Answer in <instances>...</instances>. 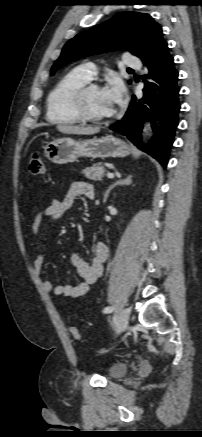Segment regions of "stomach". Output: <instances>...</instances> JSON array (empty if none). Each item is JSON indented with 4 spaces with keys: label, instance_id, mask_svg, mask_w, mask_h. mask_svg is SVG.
Instances as JSON below:
<instances>
[{
    "label": "stomach",
    "instance_id": "stomach-1",
    "mask_svg": "<svg viewBox=\"0 0 202 437\" xmlns=\"http://www.w3.org/2000/svg\"><path fill=\"white\" fill-rule=\"evenodd\" d=\"M130 148L121 139L105 136L86 140L61 138L48 143L44 147L45 157L53 163L66 164L79 157L108 158L126 157Z\"/></svg>",
    "mask_w": 202,
    "mask_h": 437
}]
</instances>
